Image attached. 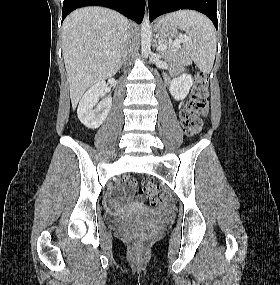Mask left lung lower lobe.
I'll return each mask as SVG.
<instances>
[{"mask_svg":"<svg viewBox=\"0 0 280 285\" xmlns=\"http://www.w3.org/2000/svg\"><path fill=\"white\" fill-rule=\"evenodd\" d=\"M148 4L150 21L168 12L192 9L207 15L218 29L216 0H148Z\"/></svg>","mask_w":280,"mask_h":285,"instance_id":"left-lung-lower-lobe-1","label":"left lung lower lobe"}]
</instances>
